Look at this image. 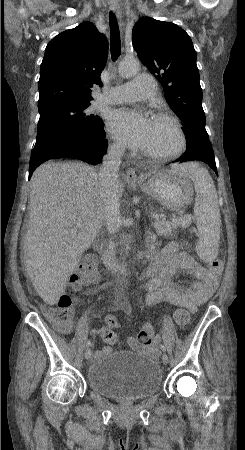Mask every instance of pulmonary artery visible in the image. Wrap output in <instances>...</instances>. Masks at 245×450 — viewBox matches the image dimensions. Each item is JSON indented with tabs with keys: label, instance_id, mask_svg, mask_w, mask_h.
Returning a JSON list of instances; mask_svg holds the SVG:
<instances>
[{
	"label": "pulmonary artery",
	"instance_id": "obj_1",
	"mask_svg": "<svg viewBox=\"0 0 245 450\" xmlns=\"http://www.w3.org/2000/svg\"><path fill=\"white\" fill-rule=\"evenodd\" d=\"M156 94L154 78L149 75H140L112 87L109 92L99 96V101L108 104L125 103L153 97Z\"/></svg>",
	"mask_w": 245,
	"mask_h": 450
}]
</instances>
